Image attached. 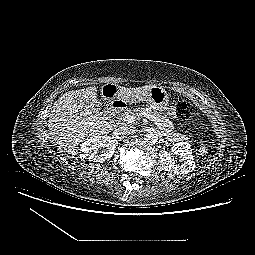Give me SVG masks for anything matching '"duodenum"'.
Returning <instances> with one entry per match:
<instances>
[{"label":"duodenum","mask_w":255,"mask_h":255,"mask_svg":"<svg viewBox=\"0 0 255 255\" xmlns=\"http://www.w3.org/2000/svg\"><path fill=\"white\" fill-rule=\"evenodd\" d=\"M126 108V103L120 98H114L109 101L108 111L111 116L116 117Z\"/></svg>","instance_id":"1"}]
</instances>
